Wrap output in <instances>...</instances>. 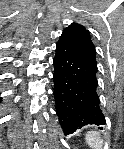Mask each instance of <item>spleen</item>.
I'll list each match as a JSON object with an SVG mask.
<instances>
[{
	"instance_id": "1",
	"label": "spleen",
	"mask_w": 124,
	"mask_h": 149,
	"mask_svg": "<svg viewBox=\"0 0 124 149\" xmlns=\"http://www.w3.org/2000/svg\"><path fill=\"white\" fill-rule=\"evenodd\" d=\"M93 135L94 138H88L89 135ZM97 134V133H96ZM95 132H90L87 135L86 142L90 145L92 149H100L103 142L100 140L99 134L96 135Z\"/></svg>"
}]
</instances>
